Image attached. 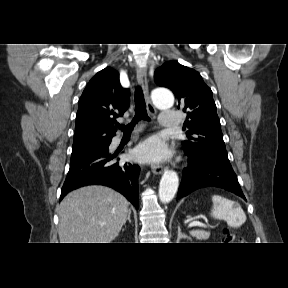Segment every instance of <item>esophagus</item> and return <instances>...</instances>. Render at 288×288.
Returning <instances> with one entry per match:
<instances>
[{
	"mask_svg": "<svg viewBox=\"0 0 288 288\" xmlns=\"http://www.w3.org/2000/svg\"><path fill=\"white\" fill-rule=\"evenodd\" d=\"M136 73H137L138 83L141 86V88L144 92V95H145V99H146V103H147V109L151 114H155L156 109H155L154 105L152 104L150 96H149L148 79H147L146 69L144 67H138L136 70ZM164 169L165 168L161 165H156V164L151 165V170L154 174H161L164 171Z\"/></svg>",
	"mask_w": 288,
	"mask_h": 288,
	"instance_id": "34e87169",
	"label": "esophagus"
}]
</instances>
